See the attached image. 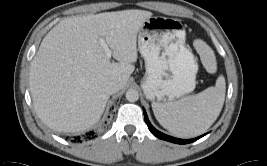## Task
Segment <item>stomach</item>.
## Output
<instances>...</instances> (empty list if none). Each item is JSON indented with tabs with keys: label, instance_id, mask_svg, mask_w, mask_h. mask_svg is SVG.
<instances>
[{
	"label": "stomach",
	"instance_id": "1",
	"mask_svg": "<svg viewBox=\"0 0 267 166\" xmlns=\"http://www.w3.org/2000/svg\"><path fill=\"white\" fill-rule=\"evenodd\" d=\"M185 39L179 20L156 16L143 23L138 34L146 68L141 87L153 103L173 102L195 89L198 63Z\"/></svg>",
	"mask_w": 267,
	"mask_h": 166
}]
</instances>
